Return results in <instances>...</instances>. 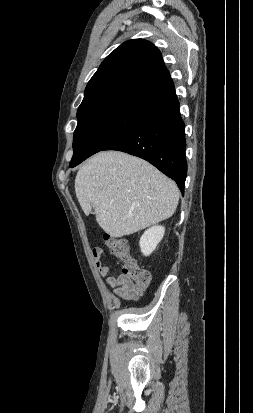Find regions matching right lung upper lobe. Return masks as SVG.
<instances>
[{"instance_id":"cb5924a9","label":"right lung upper lobe","mask_w":253,"mask_h":413,"mask_svg":"<svg viewBox=\"0 0 253 413\" xmlns=\"http://www.w3.org/2000/svg\"><path fill=\"white\" fill-rule=\"evenodd\" d=\"M176 100L158 48L143 39L128 40L106 57L90 79L77 118L110 111L148 116Z\"/></svg>"}]
</instances>
